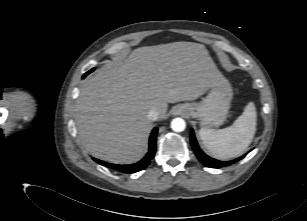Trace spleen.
<instances>
[{"mask_svg":"<svg viewBox=\"0 0 307 221\" xmlns=\"http://www.w3.org/2000/svg\"><path fill=\"white\" fill-rule=\"evenodd\" d=\"M257 124V112L253 102H249L242 115L224 129L199 130L200 139L213 156L227 160L242 155L251 144Z\"/></svg>","mask_w":307,"mask_h":221,"instance_id":"1","label":"spleen"}]
</instances>
